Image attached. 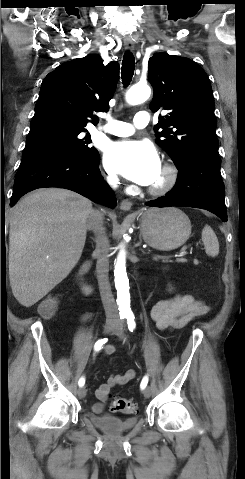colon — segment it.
Returning a JSON list of instances; mask_svg holds the SVG:
<instances>
[{"label": "colon", "mask_w": 245, "mask_h": 479, "mask_svg": "<svg viewBox=\"0 0 245 479\" xmlns=\"http://www.w3.org/2000/svg\"><path fill=\"white\" fill-rule=\"evenodd\" d=\"M58 303L55 297L46 298L40 305V314L45 318H51L57 311ZM113 409L124 413L131 414L137 409L136 404L129 399L121 397L120 395H113L112 398Z\"/></svg>", "instance_id": "obj_1"}]
</instances>
